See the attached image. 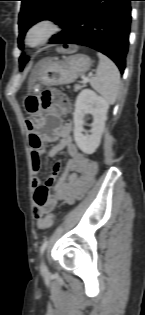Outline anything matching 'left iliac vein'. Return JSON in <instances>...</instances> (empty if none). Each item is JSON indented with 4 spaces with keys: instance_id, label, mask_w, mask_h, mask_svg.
I'll list each match as a JSON object with an SVG mask.
<instances>
[{
    "instance_id": "1",
    "label": "left iliac vein",
    "mask_w": 145,
    "mask_h": 315,
    "mask_svg": "<svg viewBox=\"0 0 145 315\" xmlns=\"http://www.w3.org/2000/svg\"><path fill=\"white\" fill-rule=\"evenodd\" d=\"M42 270L45 271V272L47 271V267H46L44 261H42Z\"/></svg>"
}]
</instances>
